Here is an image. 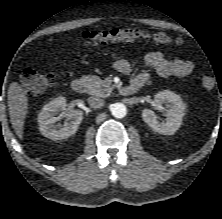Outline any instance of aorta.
I'll return each instance as SVG.
<instances>
[{
	"label": "aorta",
	"instance_id": "1",
	"mask_svg": "<svg viewBox=\"0 0 222 219\" xmlns=\"http://www.w3.org/2000/svg\"><path fill=\"white\" fill-rule=\"evenodd\" d=\"M126 111V106L123 103H115L111 107V113L115 118L125 117Z\"/></svg>",
	"mask_w": 222,
	"mask_h": 219
}]
</instances>
